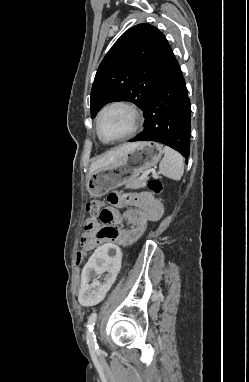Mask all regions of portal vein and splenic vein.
Returning <instances> with one entry per match:
<instances>
[{"label":"portal vein and splenic vein","instance_id":"1","mask_svg":"<svg viewBox=\"0 0 249 382\" xmlns=\"http://www.w3.org/2000/svg\"><path fill=\"white\" fill-rule=\"evenodd\" d=\"M149 173H152L153 176H156V172H155V170L151 169V170H148V171L144 172V173L141 175L140 179H144V178H146V177L149 175Z\"/></svg>","mask_w":249,"mask_h":382}]
</instances>
